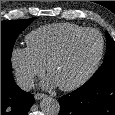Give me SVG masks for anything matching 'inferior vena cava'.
<instances>
[{
    "label": "inferior vena cava",
    "instance_id": "inferior-vena-cava-1",
    "mask_svg": "<svg viewBox=\"0 0 115 115\" xmlns=\"http://www.w3.org/2000/svg\"><path fill=\"white\" fill-rule=\"evenodd\" d=\"M17 85L25 91H28L34 87V79L28 74H18L16 76Z\"/></svg>",
    "mask_w": 115,
    "mask_h": 115
}]
</instances>
